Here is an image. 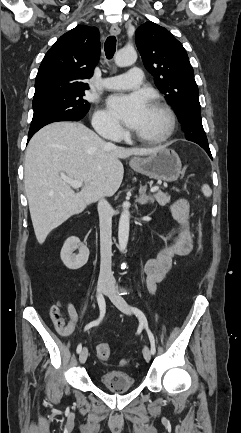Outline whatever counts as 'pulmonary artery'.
<instances>
[{"label":"pulmonary artery","instance_id":"obj_1","mask_svg":"<svg viewBox=\"0 0 241 433\" xmlns=\"http://www.w3.org/2000/svg\"><path fill=\"white\" fill-rule=\"evenodd\" d=\"M143 81V73L137 66H133L126 74L105 78L102 85L110 90H131L139 87Z\"/></svg>","mask_w":241,"mask_h":433}]
</instances>
